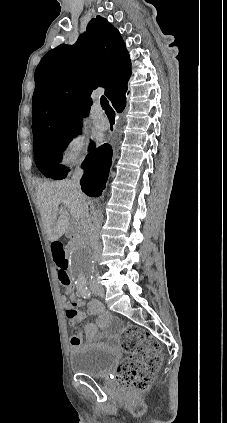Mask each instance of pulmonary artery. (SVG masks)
Segmentation results:
<instances>
[{
  "label": "pulmonary artery",
  "mask_w": 227,
  "mask_h": 423,
  "mask_svg": "<svg viewBox=\"0 0 227 423\" xmlns=\"http://www.w3.org/2000/svg\"><path fill=\"white\" fill-rule=\"evenodd\" d=\"M91 119L94 126L99 130H105L109 127L108 119L103 115L100 107H93L90 111Z\"/></svg>",
  "instance_id": "obj_1"
}]
</instances>
